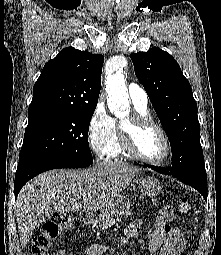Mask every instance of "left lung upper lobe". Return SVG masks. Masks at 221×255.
Masks as SVG:
<instances>
[{
    "label": "left lung upper lobe",
    "mask_w": 221,
    "mask_h": 255,
    "mask_svg": "<svg viewBox=\"0 0 221 255\" xmlns=\"http://www.w3.org/2000/svg\"><path fill=\"white\" fill-rule=\"evenodd\" d=\"M130 58L170 141L173 175L206 172L197 104L179 64L157 47L132 53Z\"/></svg>",
    "instance_id": "left-lung-upper-lobe-1"
}]
</instances>
